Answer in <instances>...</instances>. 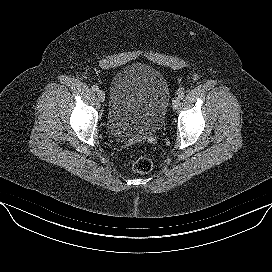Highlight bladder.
Wrapping results in <instances>:
<instances>
[{"label":"bladder","mask_w":272,"mask_h":272,"mask_svg":"<svg viewBox=\"0 0 272 272\" xmlns=\"http://www.w3.org/2000/svg\"><path fill=\"white\" fill-rule=\"evenodd\" d=\"M169 101L168 82L158 69L144 63L129 64L111 81L107 129L119 138L154 136L164 124Z\"/></svg>","instance_id":"bladder-1"}]
</instances>
